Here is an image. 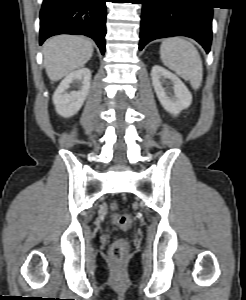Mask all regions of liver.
<instances>
[{
	"instance_id": "liver-1",
	"label": "liver",
	"mask_w": 246,
	"mask_h": 300,
	"mask_svg": "<svg viewBox=\"0 0 246 300\" xmlns=\"http://www.w3.org/2000/svg\"><path fill=\"white\" fill-rule=\"evenodd\" d=\"M92 42L81 36L58 35L44 43L43 57L51 81H58L84 66L92 57Z\"/></svg>"
}]
</instances>
